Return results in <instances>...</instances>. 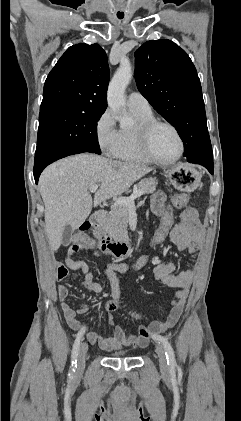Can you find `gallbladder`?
Returning <instances> with one entry per match:
<instances>
[{"label": "gallbladder", "mask_w": 241, "mask_h": 421, "mask_svg": "<svg viewBox=\"0 0 241 421\" xmlns=\"http://www.w3.org/2000/svg\"><path fill=\"white\" fill-rule=\"evenodd\" d=\"M72 234H73V228H72V226L70 224H67L64 227L63 236H62V244L64 246H68L71 243V241H72Z\"/></svg>", "instance_id": "bac80fb5"}]
</instances>
